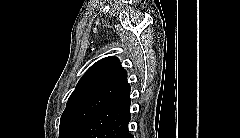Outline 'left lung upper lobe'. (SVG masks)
Segmentation results:
<instances>
[{"instance_id":"1","label":"left lung upper lobe","mask_w":240,"mask_h":138,"mask_svg":"<svg viewBox=\"0 0 240 138\" xmlns=\"http://www.w3.org/2000/svg\"><path fill=\"white\" fill-rule=\"evenodd\" d=\"M126 77L117 57L94 63L68 99L60 120L59 138H79Z\"/></svg>"}]
</instances>
